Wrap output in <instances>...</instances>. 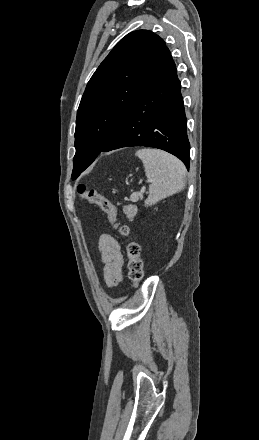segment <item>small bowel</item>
<instances>
[{"label":"small bowel","mask_w":259,"mask_h":440,"mask_svg":"<svg viewBox=\"0 0 259 440\" xmlns=\"http://www.w3.org/2000/svg\"><path fill=\"white\" fill-rule=\"evenodd\" d=\"M98 251L105 283L108 287H113L122 280L124 264L122 248L113 236L103 234L99 238Z\"/></svg>","instance_id":"small-bowel-1"}]
</instances>
